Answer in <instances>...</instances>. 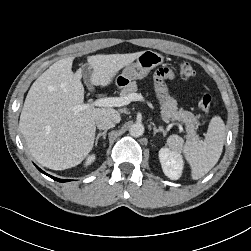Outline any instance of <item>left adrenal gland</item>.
<instances>
[{"label":"left adrenal gland","mask_w":251,"mask_h":251,"mask_svg":"<svg viewBox=\"0 0 251 251\" xmlns=\"http://www.w3.org/2000/svg\"><path fill=\"white\" fill-rule=\"evenodd\" d=\"M158 132L163 133V135H165V133H166L162 127L157 128L156 126H154L153 127V136H155L156 133H158Z\"/></svg>","instance_id":"a2214340"}]
</instances>
